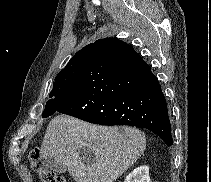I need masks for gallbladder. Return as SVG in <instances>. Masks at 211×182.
<instances>
[{"label": "gallbladder", "instance_id": "gallbladder-1", "mask_svg": "<svg viewBox=\"0 0 211 182\" xmlns=\"http://www.w3.org/2000/svg\"><path fill=\"white\" fill-rule=\"evenodd\" d=\"M80 155L85 160L94 159V154L85 147L80 150ZM44 164L54 173H64L66 171V168L59 162V160L53 157L44 158Z\"/></svg>", "mask_w": 211, "mask_h": 182}]
</instances>
